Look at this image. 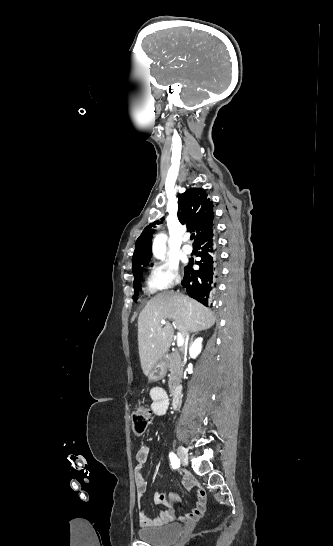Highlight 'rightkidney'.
Here are the masks:
<instances>
[{
  "mask_svg": "<svg viewBox=\"0 0 333 546\" xmlns=\"http://www.w3.org/2000/svg\"><path fill=\"white\" fill-rule=\"evenodd\" d=\"M202 338H198L194 341V343L191 345L189 349V355L191 358H196L202 349Z\"/></svg>",
  "mask_w": 333,
  "mask_h": 546,
  "instance_id": "1",
  "label": "right kidney"
}]
</instances>
